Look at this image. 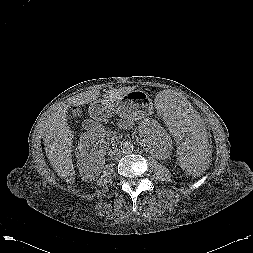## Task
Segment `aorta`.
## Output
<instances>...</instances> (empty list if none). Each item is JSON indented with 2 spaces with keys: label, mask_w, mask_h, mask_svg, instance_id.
<instances>
[{
  "label": "aorta",
  "mask_w": 253,
  "mask_h": 253,
  "mask_svg": "<svg viewBox=\"0 0 253 253\" xmlns=\"http://www.w3.org/2000/svg\"><path fill=\"white\" fill-rule=\"evenodd\" d=\"M133 149H134L133 144L128 141H125L121 144V150L125 154L131 153Z\"/></svg>",
  "instance_id": "aorta-1"
}]
</instances>
